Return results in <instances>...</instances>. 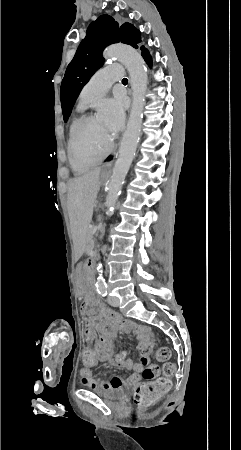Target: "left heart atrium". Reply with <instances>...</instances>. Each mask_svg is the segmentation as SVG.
<instances>
[{"label": "left heart atrium", "mask_w": 241, "mask_h": 450, "mask_svg": "<svg viewBox=\"0 0 241 450\" xmlns=\"http://www.w3.org/2000/svg\"><path fill=\"white\" fill-rule=\"evenodd\" d=\"M107 105L111 113L110 128L114 133H117L124 125L126 103L123 100H114L107 102Z\"/></svg>", "instance_id": "obj_1"}]
</instances>
